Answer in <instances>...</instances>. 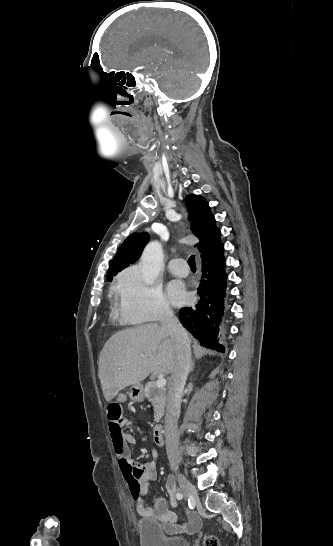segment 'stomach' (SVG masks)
Listing matches in <instances>:
<instances>
[{
  "label": "stomach",
  "mask_w": 333,
  "mask_h": 546,
  "mask_svg": "<svg viewBox=\"0 0 333 546\" xmlns=\"http://www.w3.org/2000/svg\"><path fill=\"white\" fill-rule=\"evenodd\" d=\"M128 396L134 402H142L144 400L143 386L141 384L133 385L128 392Z\"/></svg>",
  "instance_id": "obj_1"
}]
</instances>
